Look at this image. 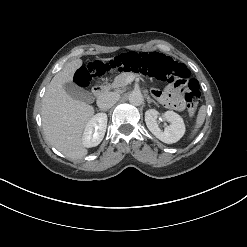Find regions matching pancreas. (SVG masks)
Wrapping results in <instances>:
<instances>
[{
	"mask_svg": "<svg viewBox=\"0 0 247 247\" xmlns=\"http://www.w3.org/2000/svg\"><path fill=\"white\" fill-rule=\"evenodd\" d=\"M129 77H136L133 73H122L115 77L114 82L108 86V89H114L117 92L122 91L128 84Z\"/></svg>",
	"mask_w": 247,
	"mask_h": 247,
	"instance_id": "obj_1",
	"label": "pancreas"
}]
</instances>
